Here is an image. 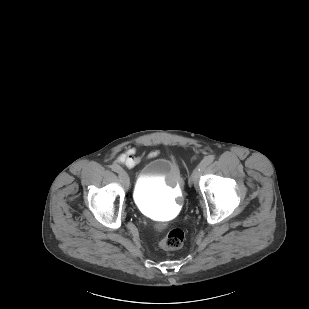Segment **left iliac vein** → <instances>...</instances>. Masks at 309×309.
<instances>
[{"label":"left iliac vein","instance_id":"obj_1","mask_svg":"<svg viewBox=\"0 0 309 309\" xmlns=\"http://www.w3.org/2000/svg\"><path fill=\"white\" fill-rule=\"evenodd\" d=\"M206 168V165L204 163H200L199 166L194 170L192 173L190 183L191 184H197L199 177L201 176L202 172Z\"/></svg>","mask_w":309,"mask_h":309}]
</instances>
